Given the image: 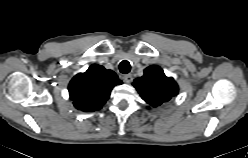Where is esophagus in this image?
Wrapping results in <instances>:
<instances>
[{
    "label": "esophagus",
    "instance_id": "obj_1",
    "mask_svg": "<svg viewBox=\"0 0 248 158\" xmlns=\"http://www.w3.org/2000/svg\"><path fill=\"white\" fill-rule=\"evenodd\" d=\"M132 80H133V77H132L131 74H125V75L123 76V81H124L125 83H130V82H132Z\"/></svg>",
    "mask_w": 248,
    "mask_h": 158
}]
</instances>
